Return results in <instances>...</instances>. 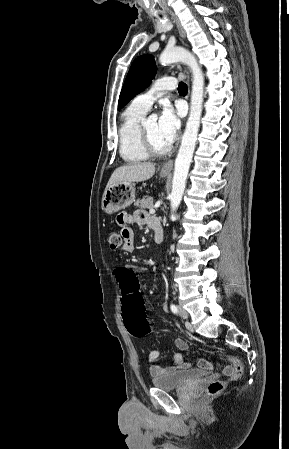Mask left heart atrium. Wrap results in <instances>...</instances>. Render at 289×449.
<instances>
[{
  "label": "left heart atrium",
  "instance_id": "1",
  "mask_svg": "<svg viewBox=\"0 0 289 449\" xmlns=\"http://www.w3.org/2000/svg\"><path fill=\"white\" fill-rule=\"evenodd\" d=\"M159 130L164 139L172 144L180 128V120L170 104H164L158 119Z\"/></svg>",
  "mask_w": 289,
  "mask_h": 449
}]
</instances>
